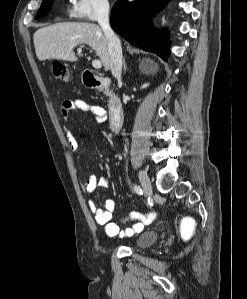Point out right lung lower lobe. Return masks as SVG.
<instances>
[{
	"label": "right lung lower lobe",
	"instance_id": "right-lung-lower-lobe-1",
	"mask_svg": "<svg viewBox=\"0 0 247 299\" xmlns=\"http://www.w3.org/2000/svg\"><path fill=\"white\" fill-rule=\"evenodd\" d=\"M167 2L168 0H119L112 10L111 27L131 44L156 53L167 61L170 53L168 33L155 30L149 20V16Z\"/></svg>",
	"mask_w": 247,
	"mask_h": 299
}]
</instances>
